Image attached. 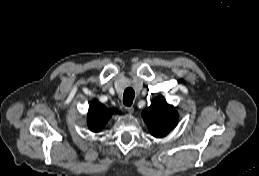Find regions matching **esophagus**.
Wrapping results in <instances>:
<instances>
[{
    "label": "esophagus",
    "mask_w": 259,
    "mask_h": 176,
    "mask_svg": "<svg viewBox=\"0 0 259 176\" xmlns=\"http://www.w3.org/2000/svg\"><path fill=\"white\" fill-rule=\"evenodd\" d=\"M126 110H127V112H128L129 114H132L133 111H134V108H133L132 106H130V107H126Z\"/></svg>",
    "instance_id": "34e87169"
}]
</instances>
